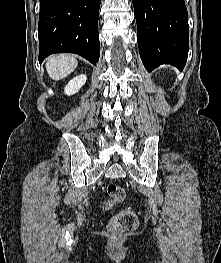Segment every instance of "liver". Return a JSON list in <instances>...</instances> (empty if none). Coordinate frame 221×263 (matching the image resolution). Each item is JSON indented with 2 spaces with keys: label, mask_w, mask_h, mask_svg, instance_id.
I'll return each mask as SVG.
<instances>
[{
  "label": "liver",
  "mask_w": 221,
  "mask_h": 263,
  "mask_svg": "<svg viewBox=\"0 0 221 263\" xmlns=\"http://www.w3.org/2000/svg\"><path fill=\"white\" fill-rule=\"evenodd\" d=\"M78 65L75 57L69 54H59L47 59L46 70L50 78L60 80L72 73Z\"/></svg>",
  "instance_id": "6515ba94"
}]
</instances>
